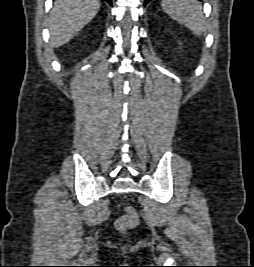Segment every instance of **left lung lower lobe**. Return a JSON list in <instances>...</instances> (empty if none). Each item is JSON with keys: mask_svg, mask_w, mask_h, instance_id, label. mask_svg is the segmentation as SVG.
<instances>
[{"mask_svg": "<svg viewBox=\"0 0 254 267\" xmlns=\"http://www.w3.org/2000/svg\"><path fill=\"white\" fill-rule=\"evenodd\" d=\"M149 1H151V0H145V3H144V5H146Z\"/></svg>", "mask_w": 254, "mask_h": 267, "instance_id": "left-lung-lower-lobe-1", "label": "left lung lower lobe"}]
</instances>
